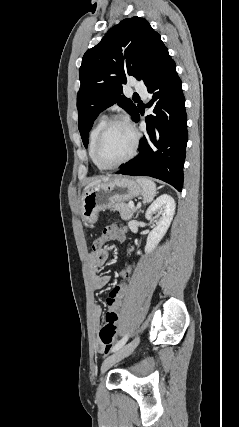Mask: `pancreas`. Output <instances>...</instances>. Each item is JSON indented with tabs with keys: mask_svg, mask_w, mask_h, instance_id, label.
<instances>
[{
	"mask_svg": "<svg viewBox=\"0 0 239 427\" xmlns=\"http://www.w3.org/2000/svg\"><path fill=\"white\" fill-rule=\"evenodd\" d=\"M113 211H119L120 216L123 220H130L134 212L136 211L135 208H130L128 204L126 203H116L112 206Z\"/></svg>",
	"mask_w": 239,
	"mask_h": 427,
	"instance_id": "obj_1",
	"label": "pancreas"
}]
</instances>
